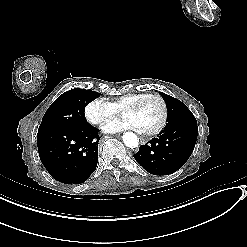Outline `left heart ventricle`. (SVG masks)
Masks as SVG:
<instances>
[{"mask_svg":"<svg viewBox=\"0 0 247 247\" xmlns=\"http://www.w3.org/2000/svg\"><path fill=\"white\" fill-rule=\"evenodd\" d=\"M162 115V103L156 98H150L144 100L138 110L129 112L127 117L135 118L141 130L150 131L160 125Z\"/></svg>","mask_w":247,"mask_h":247,"instance_id":"b2bd125f","label":"left heart ventricle"}]
</instances>
